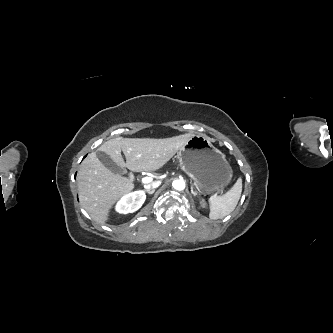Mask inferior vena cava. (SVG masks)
<instances>
[{
  "label": "inferior vena cava",
  "instance_id": "obj_1",
  "mask_svg": "<svg viewBox=\"0 0 333 333\" xmlns=\"http://www.w3.org/2000/svg\"><path fill=\"white\" fill-rule=\"evenodd\" d=\"M160 184H161V181H155V182H152V183L149 184V185H144V188H145L146 190H152V189H155V188H157L158 186H160Z\"/></svg>",
  "mask_w": 333,
  "mask_h": 333
}]
</instances>
